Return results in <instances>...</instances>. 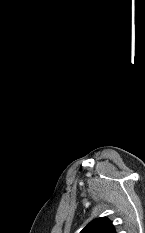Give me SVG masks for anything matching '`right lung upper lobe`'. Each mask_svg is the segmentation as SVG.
<instances>
[{
	"instance_id": "1",
	"label": "right lung upper lobe",
	"mask_w": 145,
	"mask_h": 233,
	"mask_svg": "<svg viewBox=\"0 0 145 233\" xmlns=\"http://www.w3.org/2000/svg\"><path fill=\"white\" fill-rule=\"evenodd\" d=\"M80 233H116L112 222L106 217L94 219Z\"/></svg>"
}]
</instances>
